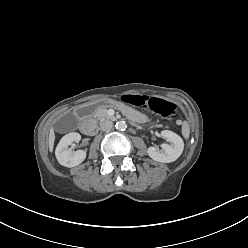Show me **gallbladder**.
Masks as SVG:
<instances>
[{
	"label": "gallbladder",
	"mask_w": 248,
	"mask_h": 248,
	"mask_svg": "<svg viewBox=\"0 0 248 248\" xmlns=\"http://www.w3.org/2000/svg\"><path fill=\"white\" fill-rule=\"evenodd\" d=\"M76 126V119L75 117H72L70 119V122L69 124H67L66 120H62L60 121L58 124H57V127L56 129L58 131H63V130H69V129H72Z\"/></svg>",
	"instance_id": "gallbladder-1"
}]
</instances>
